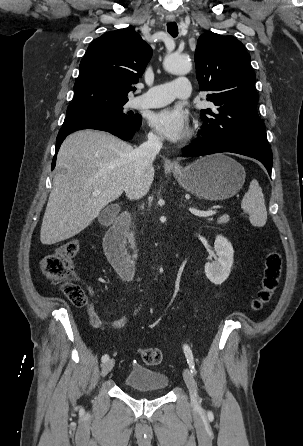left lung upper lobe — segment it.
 <instances>
[{
	"label": "left lung upper lobe",
	"instance_id": "5c2ea615",
	"mask_svg": "<svg viewBox=\"0 0 303 446\" xmlns=\"http://www.w3.org/2000/svg\"><path fill=\"white\" fill-rule=\"evenodd\" d=\"M194 58L199 88L211 92L207 100L215 105L201 110V136L269 144L257 113L256 76L243 44L207 32L199 37Z\"/></svg>",
	"mask_w": 303,
	"mask_h": 446
}]
</instances>
